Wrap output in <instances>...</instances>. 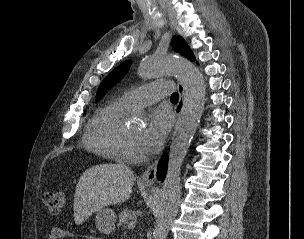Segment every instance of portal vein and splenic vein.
<instances>
[{"instance_id":"18ae733b","label":"portal vein and splenic vein","mask_w":304,"mask_h":239,"mask_svg":"<svg viewBox=\"0 0 304 239\" xmlns=\"http://www.w3.org/2000/svg\"><path fill=\"white\" fill-rule=\"evenodd\" d=\"M135 227V221H131L129 224H128V228H134Z\"/></svg>"}]
</instances>
